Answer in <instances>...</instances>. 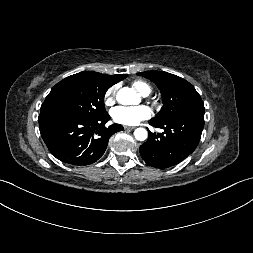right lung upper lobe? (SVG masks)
I'll list each match as a JSON object with an SVG mask.
<instances>
[{
	"mask_svg": "<svg viewBox=\"0 0 253 253\" xmlns=\"http://www.w3.org/2000/svg\"><path fill=\"white\" fill-rule=\"evenodd\" d=\"M105 77L113 83V85L123 79H125L127 77V74H119V75H107V74H104Z\"/></svg>",
	"mask_w": 253,
	"mask_h": 253,
	"instance_id": "obj_1",
	"label": "right lung upper lobe"
}]
</instances>
